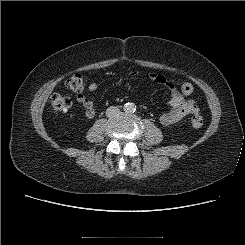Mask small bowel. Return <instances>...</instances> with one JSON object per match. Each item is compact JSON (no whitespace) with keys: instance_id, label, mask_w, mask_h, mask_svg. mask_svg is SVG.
<instances>
[{"instance_id":"small-bowel-1","label":"small bowel","mask_w":245,"mask_h":245,"mask_svg":"<svg viewBox=\"0 0 245 245\" xmlns=\"http://www.w3.org/2000/svg\"><path fill=\"white\" fill-rule=\"evenodd\" d=\"M137 74V72L131 73L133 77L137 76ZM148 77L152 82L164 86L170 94V98L168 100L170 109L164 112L159 119L162 125H173L179 122L185 116L195 114L199 111L197 104L192 100H187L165 76L158 73H150ZM88 89L91 92L97 89V83L95 80H91L89 82ZM77 101L84 108L87 118L91 119L96 115L93 102L84 94H78Z\"/></svg>"}]
</instances>
